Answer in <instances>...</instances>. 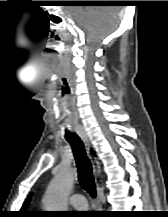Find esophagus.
<instances>
[{
    "label": "esophagus",
    "mask_w": 168,
    "mask_h": 217,
    "mask_svg": "<svg viewBox=\"0 0 168 217\" xmlns=\"http://www.w3.org/2000/svg\"><path fill=\"white\" fill-rule=\"evenodd\" d=\"M75 131L81 137L87 150L89 151L90 150V141H89L87 132L85 131L84 127L82 125H77V126H75ZM92 166H93L94 175L96 178H98L100 175V172H101L99 161L94 158L92 160Z\"/></svg>",
    "instance_id": "34e87169"
}]
</instances>
